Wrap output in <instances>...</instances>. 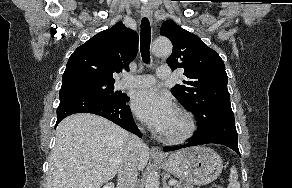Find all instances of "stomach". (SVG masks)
<instances>
[{"instance_id": "obj_1", "label": "stomach", "mask_w": 292, "mask_h": 188, "mask_svg": "<svg viewBox=\"0 0 292 188\" xmlns=\"http://www.w3.org/2000/svg\"><path fill=\"white\" fill-rule=\"evenodd\" d=\"M156 161L181 181L194 185L211 183L223 169L219 154L204 146L186 148Z\"/></svg>"}]
</instances>
